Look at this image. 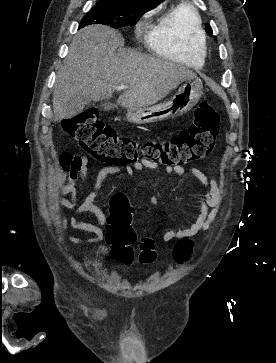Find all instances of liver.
<instances>
[{"instance_id": "liver-1", "label": "liver", "mask_w": 276, "mask_h": 363, "mask_svg": "<svg viewBox=\"0 0 276 363\" xmlns=\"http://www.w3.org/2000/svg\"><path fill=\"white\" fill-rule=\"evenodd\" d=\"M122 35L103 25L81 29L69 46L53 91L54 121L72 118V98L102 101L112 97L118 84L128 90L117 100L126 109L147 108L166 97L196 74L183 65L135 50L117 51Z\"/></svg>"}]
</instances>
